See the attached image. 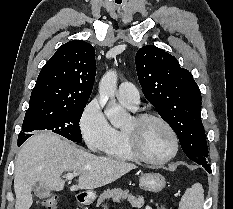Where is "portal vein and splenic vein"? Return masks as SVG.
I'll use <instances>...</instances> for the list:
<instances>
[{
  "label": "portal vein and splenic vein",
  "instance_id": "18ae733b",
  "mask_svg": "<svg viewBox=\"0 0 233 209\" xmlns=\"http://www.w3.org/2000/svg\"><path fill=\"white\" fill-rule=\"evenodd\" d=\"M77 175H79V173H77V172L68 173V174L66 175V179L71 180V179H73V178H74L75 176H77Z\"/></svg>",
  "mask_w": 233,
  "mask_h": 209
}]
</instances>
